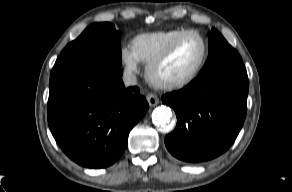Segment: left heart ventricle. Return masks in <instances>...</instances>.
<instances>
[{"label": "left heart ventricle", "instance_id": "b2bd125f", "mask_svg": "<svg viewBox=\"0 0 292 192\" xmlns=\"http://www.w3.org/2000/svg\"><path fill=\"white\" fill-rule=\"evenodd\" d=\"M203 54V44L196 35L185 37L171 56L157 69L156 76L164 81L183 78L191 73Z\"/></svg>", "mask_w": 292, "mask_h": 192}]
</instances>
